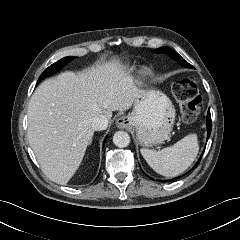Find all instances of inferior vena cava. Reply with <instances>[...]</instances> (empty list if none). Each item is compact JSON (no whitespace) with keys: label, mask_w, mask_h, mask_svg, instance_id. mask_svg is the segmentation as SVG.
<instances>
[{"label":"inferior vena cava","mask_w":240,"mask_h":240,"mask_svg":"<svg viewBox=\"0 0 240 240\" xmlns=\"http://www.w3.org/2000/svg\"><path fill=\"white\" fill-rule=\"evenodd\" d=\"M108 126V119L104 115H98L93 117L91 121V127L93 130H105Z\"/></svg>","instance_id":"602c4592"}]
</instances>
